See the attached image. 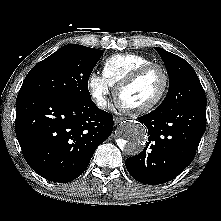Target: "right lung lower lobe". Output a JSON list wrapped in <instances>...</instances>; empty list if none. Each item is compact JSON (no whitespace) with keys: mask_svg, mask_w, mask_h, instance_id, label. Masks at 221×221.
Returning a JSON list of instances; mask_svg holds the SVG:
<instances>
[{"mask_svg":"<svg viewBox=\"0 0 221 221\" xmlns=\"http://www.w3.org/2000/svg\"><path fill=\"white\" fill-rule=\"evenodd\" d=\"M113 116L90 100L19 93L15 132L29 166L50 181L66 183L87 168L112 133Z\"/></svg>","mask_w":221,"mask_h":221,"instance_id":"obj_1","label":"right lung lower lobe"}]
</instances>
